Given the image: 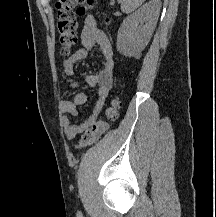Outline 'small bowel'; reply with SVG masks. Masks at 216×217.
I'll return each instance as SVG.
<instances>
[{
    "instance_id": "obj_1",
    "label": "small bowel",
    "mask_w": 216,
    "mask_h": 217,
    "mask_svg": "<svg viewBox=\"0 0 216 217\" xmlns=\"http://www.w3.org/2000/svg\"><path fill=\"white\" fill-rule=\"evenodd\" d=\"M81 48L77 49L71 56L62 62V70L66 76L75 75V67L79 61L85 59L95 46L101 52V70L96 74L87 75L81 73L77 78L70 81V88L76 89L81 80H85L88 86L97 87L95 105L84 121L73 123L71 117L78 115L77 106L83 105L87 101L84 92H77L60 102V110L64 114L61 126L66 139L72 140L77 135L85 132L95 123L103 109L108 95L113 86L114 58L112 45L106 34L98 29L94 17L88 16L84 20V25L80 34Z\"/></svg>"
}]
</instances>
